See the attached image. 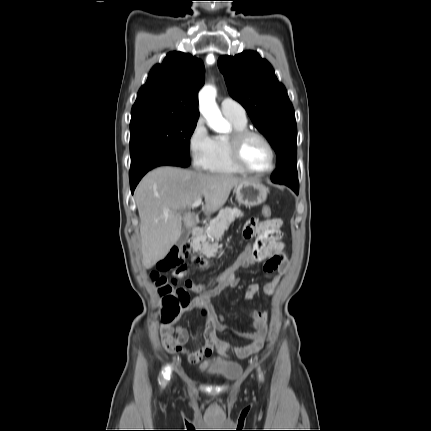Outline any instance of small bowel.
I'll return each mask as SVG.
<instances>
[{
    "label": "small bowel",
    "mask_w": 431,
    "mask_h": 431,
    "mask_svg": "<svg viewBox=\"0 0 431 431\" xmlns=\"http://www.w3.org/2000/svg\"><path fill=\"white\" fill-rule=\"evenodd\" d=\"M282 225V220L278 218L266 221L251 219L245 225L243 231V236L246 240L253 239V243L251 245L253 255L248 258V260L244 261L245 265L243 268H248L262 263L263 271L265 273L270 274L277 272L274 279L263 286V292L267 295H271L275 292L279 276L282 275L287 262L285 243L282 240ZM230 271L231 268L228 265H225L223 267V271L217 272L216 278H229ZM233 277L236 278L237 281L234 284L232 283V287H236L240 281L238 272H235ZM216 283L214 286H216ZM220 283H224V280H220ZM185 285L192 292L198 293L202 296H207V291L211 290L207 289L204 283H194L191 280H187ZM258 291V284L248 285L244 294L245 300H251ZM198 296L194 297L191 301L194 302L197 300ZM216 297L217 296H215V298ZM200 310L206 319V329L203 341L198 343L197 349L190 351L184 347L189 338L188 332L185 328L177 326L176 320H173L160 326L162 345L167 352L171 354H184L189 362L198 364L200 368L205 369L216 367L226 362L231 354L240 358H245L255 354L264 345L267 333V311H247L253 318L250 330L236 333V335L240 338L249 340L250 343L245 346L238 347L225 342L218 337L217 334L219 332H224L228 329V321L216 311L214 303H211L209 308H200ZM213 352H217L218 356L213 357Z\"/></svg>",
    "instance_id": "small-bowel-1"
}]
</instances>
